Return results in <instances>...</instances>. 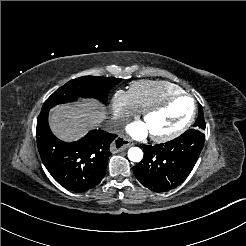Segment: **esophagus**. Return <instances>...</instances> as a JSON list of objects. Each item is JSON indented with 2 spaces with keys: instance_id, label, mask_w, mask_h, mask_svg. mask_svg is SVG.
<instances>
[{
  "instance_id": "1",
  "label": "esophagus",
  "mask_w": 246,
  "mask_h": 246,
  "mask_svg": "<svg viewBox=\"0 0 246 246\" xmlns=\"http://www.w3.org/2000/svg\"><path fill=\"white\" fill-rule=\"evenodd\" d=\"M133 145V143L123 137V136H120V137H117L111 144L110 146V150L112 153H118L120 151H123V150H126L127 148L131 147Z\"/></svg>"
}]
</instances>
